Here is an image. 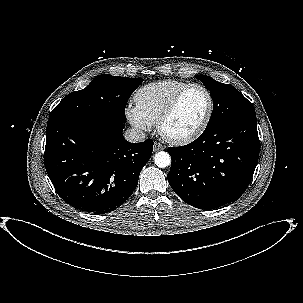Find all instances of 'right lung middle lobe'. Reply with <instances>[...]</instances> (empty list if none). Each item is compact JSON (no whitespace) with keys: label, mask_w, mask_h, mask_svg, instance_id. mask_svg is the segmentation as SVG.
I'll return each instance as SVG.
<instances>
[{"label":"right lung middle lobe","mask_w":303,"mask_h":303,"mask_svg":"<svg viewBox=\"0 0 303 303\" xmlns=\"http://www.w3.org/2000/svg\"><path fill=\"white\" fill-rule=\"evenodd\" d=\"M143 79L103 74L84 89L68 94L50 113L49 120L77 116H104L126 122L125 106Z\"/></svg>","instance_id":"obj_1"}]
</instances>
